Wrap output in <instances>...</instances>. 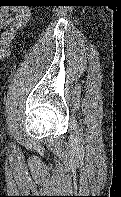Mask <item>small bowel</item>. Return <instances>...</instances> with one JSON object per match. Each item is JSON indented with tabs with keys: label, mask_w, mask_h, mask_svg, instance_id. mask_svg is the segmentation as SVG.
Returning <instances> with one entry per match:
<instances>
[{
	"label": "small bowel",
	"mask_w": 121,
	"mask_h": 197,
	"mask_svg": "<svg viewBox=\"0 0 121 197\" xmlns=\"http://www.w3.org/2000/svg\"><path fill=\"white\" fill-rule=\"evenodd\" d=\"M29 18V12L22 5H1L0 7V61L6 60L10 56V43L16 37L18 31L22 29Z\"/></svg>",
	"instance_id": "c3829d8e"
}]
</instances>
